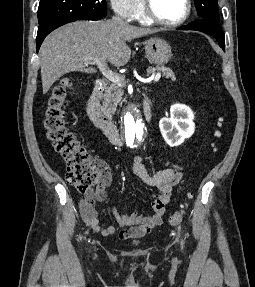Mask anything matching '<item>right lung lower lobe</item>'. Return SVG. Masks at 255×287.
Listing matches in <instances>:
<instances>
[{
	"label": "right lung lower lobe",
	"instance_id": "98d812e1",
	"mask_svg": "<svg viewBox=\"0 0 255 287\" xmlns=\"http://www.w3.org/2000/svg\"><path fill=\"white\" fill-rule=\"evenodd\" d=\"M74 21H77V19H68V20H62V21H58V22H55V23H50V24H47V25H44V26H41L38 28V34H37V38H36V43H37V46H36V50L38 52L39 48H40V45L42 44L44 38L51 32L53 31L54 29L64 25V24H67L69 22H74Z\"/></svg>",
	"mask_w": 255,
	"mask_h": 287
}]
</instances>
